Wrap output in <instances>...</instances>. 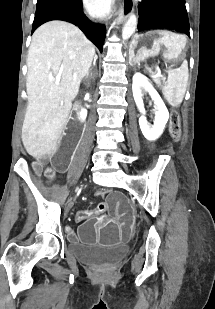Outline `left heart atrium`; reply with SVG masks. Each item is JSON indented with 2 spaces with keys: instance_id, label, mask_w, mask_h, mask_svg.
I'll return each instance as SVG.
<instances>
[{
  "instance_id": "left-heart-atrium-1",
  "label": "left heart atrium",
  "mask_w": 215,
  "mask_h": 309,
  "mask_svg": "<svg viewBox=\"0 0 215 309\" xmlns=\"http://www.w3.org/2000/svg\"><path fill=\"white\" fill-rule=\"evenodd\" d=\"M89 6L91 7L92 12H112V5H105L104 0H90Z\"/></svg>"
}]
</instances>
